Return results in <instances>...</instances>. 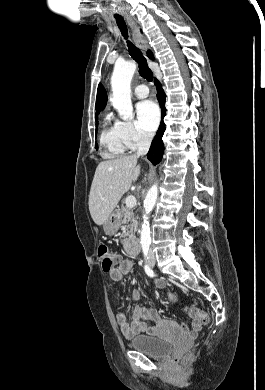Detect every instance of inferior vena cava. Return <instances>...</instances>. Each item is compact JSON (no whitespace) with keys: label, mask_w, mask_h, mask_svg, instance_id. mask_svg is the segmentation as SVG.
Listing matches in <instances>:
<instances>
[{"label":"inferior vena cava","mask_w":265,"mask_h":390,"mask_svg":"<svg viewBox=\"0 0 265 390\" xmlns=\"http://www.w3.org/2000/svg\"><path fill=\"white\" fill-rule=\"evenodd\" d=\"M152 138H153L152 134H148V133L141 134L140 140L138 142L137 156L147 154ZM149 254L150 255L153 254L151 250L149 251Z\"/></svg>","instance_id":"1"}]
</instances>
